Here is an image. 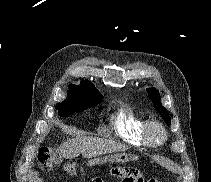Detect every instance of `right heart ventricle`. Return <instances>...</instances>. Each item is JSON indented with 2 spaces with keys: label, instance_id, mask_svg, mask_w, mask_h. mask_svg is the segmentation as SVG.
I'll return each instance as SVG.
<instances>
[{
  "label": "right heart ventricle",
  "instance_id": "1",
  "mask_svg": "<svg viewBox=\"0 0 211 182\" xmlns=\"http://www.w3.org/2000/svg\"><path fill=\"white\" fill-rule=\"evenodd\" d=\"M147 119L135 113L131 108L119 109L113 125L117 135L131 145H147L143 138V127Z\"/></svg>",
  "mask_w": 211,
  "mask_h": 182
}]
</instances>
